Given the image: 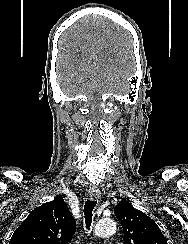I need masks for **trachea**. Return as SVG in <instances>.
<instances>
[{
	"label": "trachea",
	"instance_id": "3493384b",
	"mask_svg": "<svg viewBox=\"0 0 188 244\" xmlns=\"http://www.w3.org/2000/svg\"><path fill=\"white\" fill-rule=\"evenodd\" d=\"M97 204V201L95 200H87L84 205V217H85V223L87 230L90 229L91 222H92V216H93V210Z\"/></svg>",
	"mask_w": 188,
	"mask_h": 244
}]
</instances>
